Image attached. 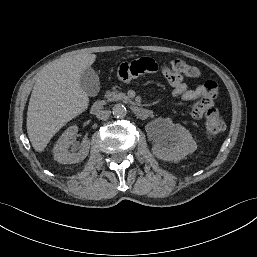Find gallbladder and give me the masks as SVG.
<instances>
[{
    "instance_id": "obj_1",
    "label": "gallbladder",
    "mask_w": 257,
    "mask_h": 257,
    "mask_svg": "<svg viewBox=\"0 0 257 257\" xmlns=\"http://www.w3.org/2000/svg\"><path fill=\"white\" fill-rule=\"evenodd\" d=\"M81 88L89 96H96L100 90L99 77L95 70L91 67L85 69L80 77Z\"/></svg>"
}]
</instances>
